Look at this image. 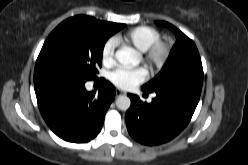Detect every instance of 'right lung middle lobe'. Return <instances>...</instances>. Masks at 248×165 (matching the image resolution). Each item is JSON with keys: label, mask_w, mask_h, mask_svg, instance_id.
Returning a JSON list of instances; mask_svg holds the SVG:
<instances>
[{"label": "right lung middle lobe", "mask_w": 248, "mask_h": 165, "mask_svg": "<svg viewBox=\"0 0 248 165\" xmlns=\"http://www.w3.org/2000/svg\"><path fill=\"white\" fill-rule=\"evenodd\" d=\"M125 27L112 30L94 28L85 22L69 18L60 23L46 39L37 58L34 83L50 78H65L85 83L102 65L107 39Z\"/></svg>", "instance_id": "obj_1"}]
</instances>
